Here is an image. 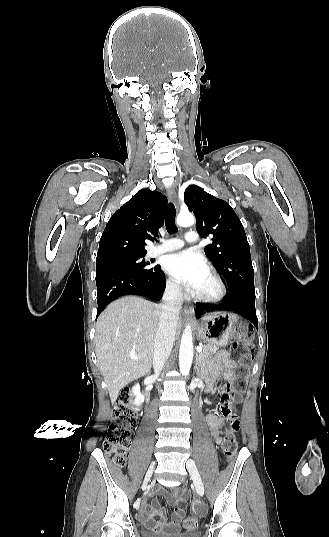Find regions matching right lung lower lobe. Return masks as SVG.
I'll list each match as a JSON object with an SVG mask.
<instances>
[{
  "mask_svg": "<svg viewBox=\"0 0 329 537\" xmlns=\"http://www.w3.org/2000/svg\"><path fill=\"white\" fill-rule=\"evenodd\" d=\"M96 285L98 317L108 303L124 295H141L159 301L166 281L165 274L159 266L149 274L119 269H101L96 271Z\"/></svg>",
  "mask_w": 329,
  "mask_h": 537,
  "instance_id": "98d812e1",
  "label": "right lung lower lobe"
}]
</instances>
